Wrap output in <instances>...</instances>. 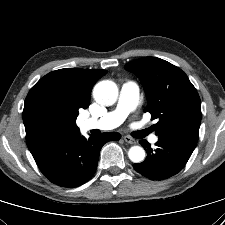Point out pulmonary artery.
<instances>
[{"instance_id":"obj_1","label":"pulmonary artery","mask_w":225,"mask_h":225,"mask_svg":"<svg viewBox=\"0 0 225 225\" xmlns=\"http://www.w3.org/2000/svg\"><path fill=\"white\" fill-rule=\"evenodd\" d=\"M139 101V90L134 82H126L122 85L119 93V98L115 108L100 118H87L83 122V127L86 130L100 129L110 130L121 125L129 113L137 106ZM157 136L151 137V142L156 143Z\"/></svg>"}]
</instances>
